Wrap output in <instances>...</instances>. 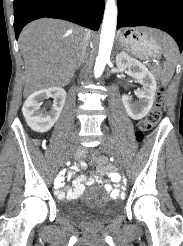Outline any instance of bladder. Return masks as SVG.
I'll return each instance as SVG.
<instances>
[{
    "instance_id": "bladder-1",
    "label": "bladder",
    "mask_w": 183,
    "mask_h": 246,
    "mask_svg": "<svg viewBox=\"0 0 183 246\" xmlns=\"http://www.w3.org/2000/svg\"><path fill=\"white\" fill-rule=\"evenodd\" d=\"M122 209L118 200L111 199L107 193L93 187L86 196L60 205V213L75 223H104L118 215Z\"/></svg>"
}]
</instances>
